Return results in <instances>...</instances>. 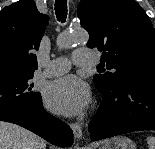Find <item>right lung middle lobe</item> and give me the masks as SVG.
Masks as SVG:
<instances>
[{"mask_svg": "<svg viewBox=\"0 0 155 149\" xmlns=\"http://www.w3.org/2000/svg\"><path fill=\"white\" fill-rule=\"evenodd\" d=\"M33 72H16L0 68V110L27 112L41 100L33 91Z\"/></svg>", "mask_w": 155, "mask_h": 149, "instance_id": "right-lung-middle-lobe-1", "label": "right lung middle lobe"}]
</instances>
